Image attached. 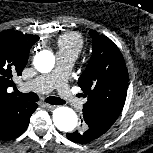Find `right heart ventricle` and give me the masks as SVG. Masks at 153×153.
Listing matches in <instances>:
<instances>
[{
    "label": "right heart ventricle",
    "mask_w": 153,
    "mask_h": 153,
    "mask_svg": "<svg viewBox=\"0 0 153 153\" xmlns=\"http://www.w3.org/2000/svg\"><path fill=\"white\" fill-rule=\"evenodd\" d=\"M59 52L70 54L75 57L79 55L84 46L83 38L78 33H66L58 39Z\"/></svg>",
    "instance_id": "obj_1"
}]
</instances>
